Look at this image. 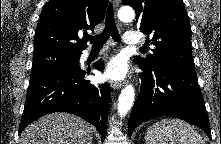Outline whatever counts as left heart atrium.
I'll list each match as a JSON object with an SVG mask.
<instances>
[{"label":"left heart atrium","instance_id":"1","mask_svg":"<svg viewBox=\"0 0 221 144\" xmlns=\"http://www.w3.org/2000/svg\"><path fill=\"white\" fill-rule=\"evenodd\" d=\"M128 74V65L124 58L115 57L107 65L105 77L111 80H122Z\"/></svg>","mask_w":221,"mask_h":144}]
</instances>
